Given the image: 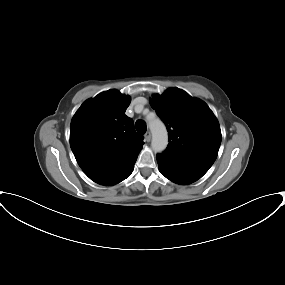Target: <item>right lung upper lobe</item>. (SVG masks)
Listing matches in <instances>:
<instances>
[{"mask_svg": "<svg viewBox=\"0 0 285 285\" xmlns=\"http://www.w3.org/2000/svg\"><path fill=\"white\" fill-rule=\"evenodd\" d=\"M130 97L108 90L86 100L70 125V146L85 174L109 185L138 157L144 144L133 120L125 115Z\"/></svg>", "mask_w": 285, "mask_h": 285, "instance_id": "right-lung-upper-lobe-1", "label": "right lung upper lobe"}]
</instances>
